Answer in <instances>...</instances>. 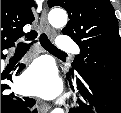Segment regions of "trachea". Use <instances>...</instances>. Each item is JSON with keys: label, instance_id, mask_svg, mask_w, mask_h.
Segmentation results:
<instances>
[{"label": "trachea", "instance_id": "3493384b", "mask_svg": "<svg viewBox=\"0 0 121 113\" xmlns=\"http://www.w3.org/2000/svg\"><path fill=\"white\" fill-rule=\"evenodd\" d=\"M40 42L41 45L50 53H57V54H64L66 55V53L60 51L59 49H57L56 46H54L51 41L48 39V37L45 34H41L40 36ZM18 50H28L29 49V45L26 43H19Z\"/></svg>", "mask_w": 121, "mask_h": 113}]
</instances>
